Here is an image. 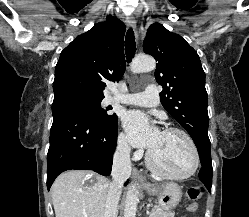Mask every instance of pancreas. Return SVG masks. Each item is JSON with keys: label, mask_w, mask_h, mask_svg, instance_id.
I'll list each match as a JSON object with an SVG mask.
<instances>
[{"label": "pancreas", "mask_w": 249, "mask_h": 217, "mask_svg": "<svg viewBox=\"0 0 249 217\" xmlns=\"http://www.w3.org/2000/svg\"><path fill=\"white\" fill-rule=\"evenodd\" d=\"M149 217H174V212L165 211L159 205H155L153 206Z\"/></svg>", "instance_id": "1"}]
</instances>
